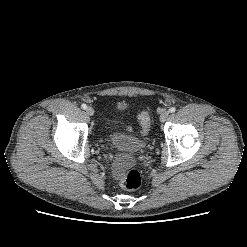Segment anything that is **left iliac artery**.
Listing matches in <instances>:
<instances>
[{"instance_id":"left-iliac-artery-1","label":"left iliac artery","mask_w":247,"mask_h":247,"mask_svg":"<svg viewBox=\"0 0 247 247\" xmlns=\"http://www.w3.org/2000/svg\"><path fill=\"white\" fill-rule=\"evenodd\" d=\"M169 111H170L171 113H173V112L176 111V108H175V107H171V108L169 109Z\"/></svg>"}]
</instances>
